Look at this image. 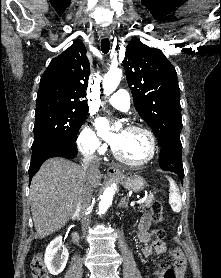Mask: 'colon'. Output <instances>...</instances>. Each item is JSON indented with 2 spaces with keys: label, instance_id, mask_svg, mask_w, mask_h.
I'll list each match as a JSON object with an SVG mask.
<instances>
[{
  "label": "colon",
  "instance_id": "1",
  "mask_svg": "<svg viewBox=\"0 0 221 278\" xmlns=\"http://www.w3.org/2000/svg\"><path fill=\"white\" fill-rule=\"evenodd\" d=\"M150 217L155 224L163 220V207L159 201H154L150 208ZM158 237H163L164 233L159 232ZM31 276L32 278H51L46 270L41 255L34 257L31 263ZM165 278H176V272L173 269H168L164 272Z\"/></svg>",
  "mask_w": 221,
  "mask_h": 278
}]
</instances>
